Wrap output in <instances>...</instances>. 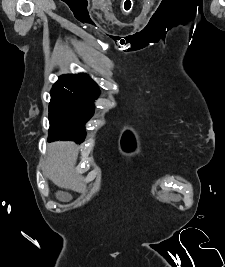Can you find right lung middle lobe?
<instances>
[{"label":"right lung middle lobe","mask_w":225,"mask_h":267,"mask_svg":"<svg viewBox=\"0 0 225 267\" xmlns=\"http://www.w3.org/2000/svg\"><path fill=\"white\" fill-rule=\"evenodd\" d=\"M94 113L91 100L80 92L60 86L51 89L49 104V141H84V124Z\"/></svg>","instance_id":"dd1d6c3e"}]
</instances>
